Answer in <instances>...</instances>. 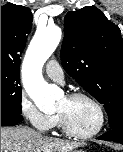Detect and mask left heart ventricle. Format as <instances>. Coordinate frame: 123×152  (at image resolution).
<instances>
[{
	"mask_svg": "<svg viewBox=\"0 0 123 152\" xmlns=\"http://www.w3.org/2000/svg\"><path fill=\"white\" fill-rule=\"evenodd\" d=\"M57 111L66 116L71 127L77 132H90L99 123V113L96 107L86 99L68 100L64 97Z\"/></svg>",
	"mask_w": 123,
	"mask_h": 152,
	"instance_id": "1",
	"label": "left heart ventricle"
}]
</instances>
